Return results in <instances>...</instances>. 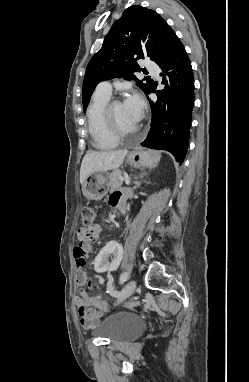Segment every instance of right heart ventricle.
I'll return each mask as SVG.
<instances>
[{
    "label": "right heart ventricle",
    "mask_w": 249,
    "mask_h": 382,
    "mask_svg": "<svg viewBox=\"0 0 249 382\" xmlns=\"http://www.w3.org/2000/svg\"><path fill=\"white\" fill-rule=\"evenodd\" d=\"M110 96L96 91L87 110L88 130L92 144L99 150L113 149L119 141L110 135L103 120V111L106 104L110 101Z\"/></svg>",
    "instance_id": "e07e8e85"
}]
</instances>
